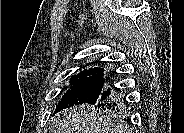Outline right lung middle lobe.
Returning <instances> with one entry per match:
<instances>
[{"instance_id": "1", "label": "right lung middle lobe", "mask_w": 184, "mask_h": 133, "mask_svg": "<svg viewBox=\"0 0 184 133\" xmlns=\"http://www.w3.org/2000/svg\"><path fill=\"white\" fill-rule=\"evenodd\" d=\"M69 83L70 87L59 101L55 111H60L78 104H91L106 86L102 75L86 78H71ZM95 107L110 112L112 115H116L122 111V105L114 104L113 102L96 104Z\"/></svg>"}]
</instances>
